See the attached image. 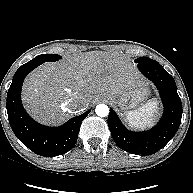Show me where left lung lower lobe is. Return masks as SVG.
Returning a JSON list of instances; mask_svg holds the SVG:
<instances>
[{
    "label": "left lung lower lobe",
    "instance_id": "0a47b994",
    "mask_svg": "<svg viewBox=\"0 0 193 193\" xmlns=\"http://www.w3.org/2000/svg\"><path fill=\"white\" fill-rule=\"evenodd\" d=\"M139 70L158 88L164 113L159 123L144 132L126 129L113 109H110L108 126L115 143L123 150L136 155H151L162 149L176 134L182 117V104L173 77L155 60L138 64Z\"/></svg>",
    "mask_w": 193,
    "mask_h": 193
}]
</instances>
